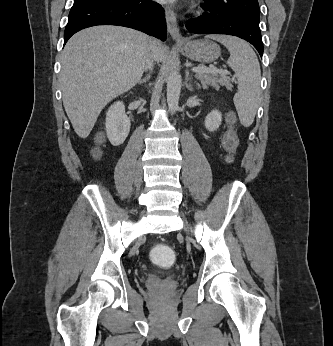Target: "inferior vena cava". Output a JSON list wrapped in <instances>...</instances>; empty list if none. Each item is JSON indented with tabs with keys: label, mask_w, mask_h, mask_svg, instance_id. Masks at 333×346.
<instances>
[{
	"label": "inferior vena cava",
	"mask_w": 333,
	"mask_h": 346,
	"mask_svg": "<svg viewBox=\"0 0 333 346\" xmlns=\"http://www.w3.org/2000/svg\"><path fill=\"white\" fill-rule=\"evenodd\" d=\"M153 60H154L153 55L150 52H148L146 55V59H145V68L146 69H149V70L153 69Z\"/></svg>",
	"instance_id": "obj_1"
}]
</instances>
